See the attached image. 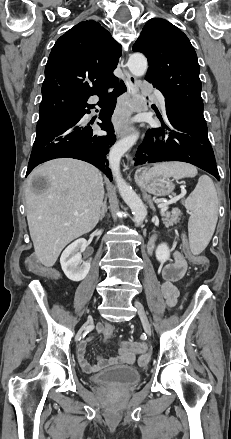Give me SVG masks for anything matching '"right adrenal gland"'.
Instances as JSON below:
<instances>
[{"label": "right adrenal gland", "instance_id": "obj_1", "mask_svg": "<svg viewBox=\"0 0 231 439\" xmlns=\"http://www.w3.org/2000/svg\"><path fill=\"white\" fill-rule=\"evenodd\" d=\"M106 212H107V196H105L104 202L102 203L101 206L100 220L104 218Z\"/></svg>", "mask_w": 231, "mask_h": 439}]
</instances>
